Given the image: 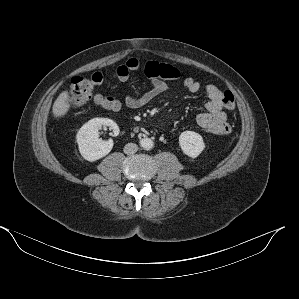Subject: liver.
Listing matches in <instances>:
<instances>
[{"label":"liver","instance_id":"6515ba94","mask_svg":"<svg viewBox=\"0 0 299 299\" xmlns=\"http://www.w3.org/2000/svg\"><path fill=\"white\" fill-rule=\"evenodd\" d=\"M70 110V97L67 90L59 94L52 107V114L55 118H61Z\"/></svg>","mask_w":299,"mask_h":299}]
</instances>
